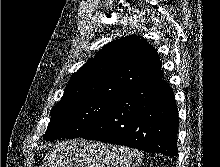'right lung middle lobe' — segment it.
<instances>
[{
	"instance_id": "dd1d6c3e",
	"label": "right lung middle lobe",
	"mask_w": 220,
	"mask_h": 167,
	"mask_svg": "<svg viewBox=\"0 0 220 167\" xmlns=\"http://www.w3.org/2000/svg\"><path fill=\"white\" fill-rule=\"evenodd\" d=\"M114 98L91 95L61 99L51 110L43 138L48 141L83 136L101 120Z\"/></svg>"
}]
</instances>
